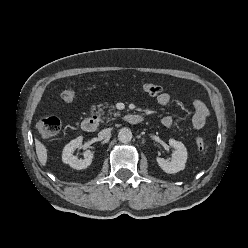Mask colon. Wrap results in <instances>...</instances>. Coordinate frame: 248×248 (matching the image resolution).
Masks as SVG:
<instances>
[{"label": "colon", "mask_w": 248, "mask_h": 248, "mask_svg": "<svg viewBox=\"0 0 248 248\" xmlns=\"http://www.w3.org/2000/svg\"><path fill=\"white\" fill-rule=\"evenodd\" d=\"M142 90L151 96L160 95L162 87L154 83H145L142 85ZM77 94L73 89H65L61 93V98L67 103L75 101ZM61 128V121L57 117H45L37 123V131L42 139L49 140L55 137ZM196 146L199 150L205 148V140L202 137L196 139Z\"/></svg>", "instance_id": "colon-1"}]
</instances>
